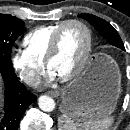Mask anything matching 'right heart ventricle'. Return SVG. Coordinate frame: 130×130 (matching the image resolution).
Returning a JSON list of instances; mask_svg holds the SVG:
<instances>
[{"label":"right heart ventricle","mask_w":130,"mask_h":130,"mask_svg":"<svg viewBox=\"0 0 130 130\" xmlns=\"http://www.w3.org/2000/svg\"><path fill=\"white\" fill-rule=\"evenodd\" d=\"M63 22L39 26L23 38L26 51L38 62H44L52 37Z\"/></svg>","instance_id":"e07e8e85"}]
</instances>
